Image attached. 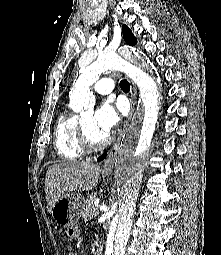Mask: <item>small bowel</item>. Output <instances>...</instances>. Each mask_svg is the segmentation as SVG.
Masks as SVG:
<instances>
[{
	"label": "small bowel",
	"mask_w": 221,
	"mask_h": 255,
	"mask_svg": "<svg viewBox=\"0 0 221 255\" xmlns=\"http://www.w3.org/2000/svg\"><path fill=\"white\" fill-rule=\"evenodd\" d=\"M67 235L70 239H78L80 237V229L78 226H72L68 228ZM69 255H76L75 253H70Z\"/></svg>",
	"instance_id": "small-bowel-1"
}]
</instances>
